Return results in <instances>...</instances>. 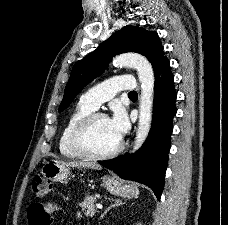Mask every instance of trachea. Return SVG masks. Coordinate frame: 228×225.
I'll list each match as a JSON object with an SVG mask.
<instances>
[{"label":"trachea","instance_id":"1","mask_svg":"<svg viewBox=\"0 0 228 225\" xmlns=\"http://www.w3.org/2000/svg\"><path fill=\"white\" fill-rule=\"evenodd\" d=\"M137 92H135L134 90L132 92H129L128 96H136Z\"/></svg>","mask_w":228,"mask_h":225}]
</instances>
